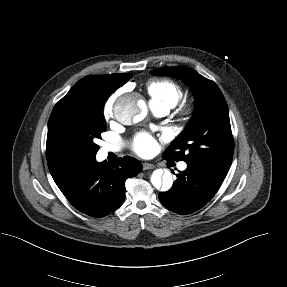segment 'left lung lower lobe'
<instances>
[{"label": "left lung lower lobe", "mask_w": 287, "mask_h": 287, "mask_svg": "<svg viewBox=\"0 0 287 287\" xmlns=\"http://www.w3.org/2000/svg\"><path fill=\"white\" fill-rule=\"evenodd\" d=\"M224 179L203 166L187 163V169L177 175L172 188L160 192L158 197L169 210L190 214L212 199Z\"/></svg>", "instance_id": "0a47b994"}]
</instances>
